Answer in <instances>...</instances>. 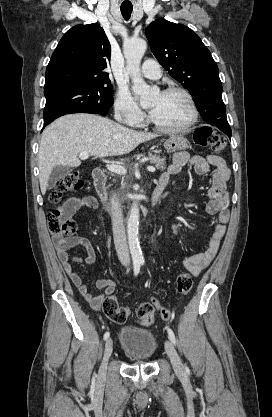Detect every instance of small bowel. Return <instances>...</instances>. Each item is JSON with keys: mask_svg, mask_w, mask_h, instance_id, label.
Listing matches in <instances>:
<instances>
[{"mask_svg": "<svg viewBox=\"0 0 272 417\" xmlns=\"http://www.w3.org/2000/svg\"><path fill=\"white\" fill-rule=\"evenodd\" d=\"M185 166L193 168L194 171L201 176L206 175L210 171L211 167L216 168V170L211 174V186L208 191L209 201L206 205V213L217 217V222L214 224L213 228V234L204 252L186 257L183 262L184 268L189 274L198 276L208 267L217 255L226 233V225L230 219V212L228 210L229 194L226 191V183L230 177V171L227 168L224 159L220 156H190L187 152H178L174 155L171 164L161 175L159 181H165L168 183L169 177L171 175L179 174ZM83 207L97 209L98 201L92 195H76L66 199L61 204L59 211L61 212L63 220H69ZM54 240L59 247V260L72 283L93 309H100L105 298L114 293L117 281L112 279H98L95 285L103 292L99 295L92 293L87 284L83 281L82 276L75 270L73 265V262H85L88 264L94 262L95 250L90 241L79 236L73 237L69 240L55 237ZM73 246L83 247L86 250L85 258L71 257L67 252V249Z\"/></svg>", "mask_w": 272, "mask_h": 417, "instance_id": "c3829d8e", "label": "small bowel"}]
</instances>
